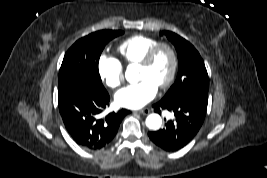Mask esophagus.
Here are the masks:
<instances>
[{
  "label": "esophagus",
  "mask_w": 267,
  "mask_h": 178,
  "mask_svg": "<svg viewBox=\"0 0 267 178\" xmlns=\"http://www.w3.org/2000/svg\"><path fill=\"white\" fill-rule=\"evenodd\" d=\"M137 113L147 115L150 113V110L148 108H145V109H141V110L137 111Z\"/></svg>",
  "instance_id": "1"
}]
</instances>
